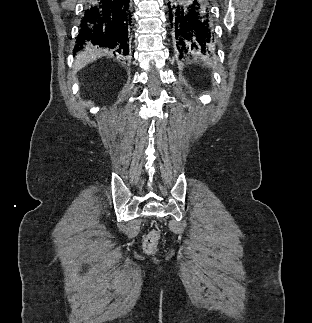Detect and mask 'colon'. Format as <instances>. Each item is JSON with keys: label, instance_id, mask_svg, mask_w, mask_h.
<instances>
[{"label": "colon", "instance_id": "colon-1", "mask_svg": "<svg viewBox=\"0 0 312 323\" xmlns=\"http://www.w3.org/2000/svg\"><path fill=\"white\" fill-rule=\"evenodd\" d=\"M158 237L156 235L147 236L143 241V247L146 251H155L158 245Z\"/></svg>", "mask_w": 312, "mask_h": 323}]
</instances>
